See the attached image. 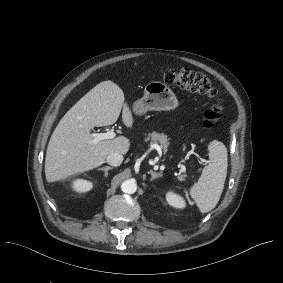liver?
I'll return each mask as SVG.
<instances>
[{"label":"liver","instance_id":"6515ba94","mask_svg":"<svg viewBox=\"0 0 283 283\" xmlns=\"http://www.w3.org/2000/svg\"><path fill=\"white\" fill-rule=\"evenodd\" d=\"M123 104V92L112 82L104 81L93 87L68 110L48 143L45 158V176L48 182L95 168L111 153H127L129 141L124 137L89 144L94 139L91 134L93 128L114 124ZM122 119L126 125L132 123L126 108L123 109Z\"/></svg>","mask_w":283,"mask_h":283}]
</instances>
